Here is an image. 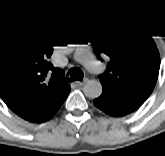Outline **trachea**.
I'll return each instance as SVG.
<instances>
[{"label": "trachea", "instance_id": "3493384b", "mask_svg": "<svg viewBox=\"0 0 165 156\" xmlns=\"http://www.w3.org/2000/svg\"><path fill=\"white\" fill-rule=\"evenodd\" d=\"M68 75H70V78L67 79L69 82L83 79V72L77 67L71 68Z\"/></svg>", "mask_w": 165, "mask_h": 156}]
</instances>
